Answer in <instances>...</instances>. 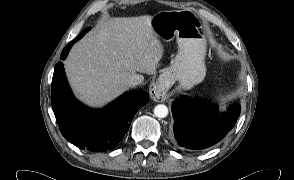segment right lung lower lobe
<instances>
[{"mask_svg":"<svg viewBox=\"0 0 294 180\" xmlns=\"http://www.w3.org/2000/svg\"><path fill=\"white\" fill-rule=\"evenodd\" d=\"M73 42L66 45L60 59L66 58ZM149 94L145 91L126 92L102 110H92L75 100L69 88L63 63L56 64L52 79L51 103L63 136L73 145L91 151L115 148L128 131L136 112L147 104Z\"/></svg>","mask_w":294,"mask_h":180,"instance_id":"1","label":"right lung lower lobe"}]
</instances>
